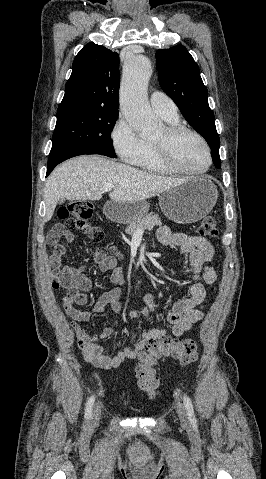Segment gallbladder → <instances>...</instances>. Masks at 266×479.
I'll return each mask as SVG.
<instances>
[{
	"instance_id": "gallbladder-1",
	"label": "gallbladder",
	"mask_w": 266,
	"mask_h": 479,
	"mask_svg": "<svg viewBox=\"0 0 266 479\" xmlns=\"http://www.w3.org/2000/svg\"><path fill=\"white\" fill-rule=\"evenodd\" d=\"M65 202V199H60L59 200V203H64Z\"/></svg>"
}]
</instances>
